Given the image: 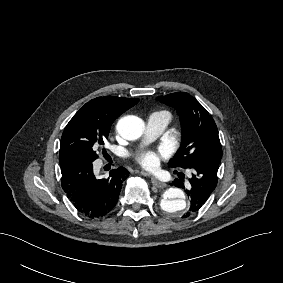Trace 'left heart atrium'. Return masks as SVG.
I'll return each instance as SVG.
<instances>
[{
  "instance_id": "39dd6f15",
  "label": "left heart atrium",
  "mask_w": 283,
  "mask_h": 283,
  "mask_svg": "<svg viewBox=\"0 0 283 283\" xmlns=\"http://www.w3.org/2000/svg\"><path fill=\"white\" fill-rule=\"evenodd\" d=\"M169 156V152L165 148H160L158 151L147 150L137 155L138 164L145 170L156 171L159 168L160 162Z\"/></svg>"
}]
</instances>
